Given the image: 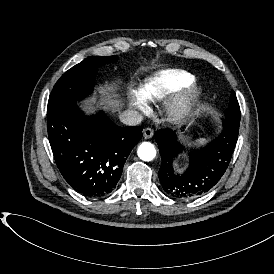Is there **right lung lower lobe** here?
<instances>
[{
	"label": "right lung lower lobe",
	"mask_w": 274,
	"mask_h": 274,
	"mask_svg": "<svg viewBox=\"0 0 274 274\" xmlns=\"http://www.w3.org/2000/svg\"><path fill=\"white\" fill-rule=\"evenodd\" d=\"M47 129L64 179L85 197L101 198L115 189L143 127H119L103 111L86 116L75 102L48 114Z\"/></svg>",
	"instance_id": "obj_1"
}]
</instances>
